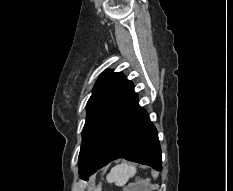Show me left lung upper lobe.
Returning a JSON list of instances; mask_svg holds the SVG:
<instances>
[{
    "instance_id": "5c2ea615",
    "label": "left lung upper lobe",
    "mask_w": 233,
    "mask_h": 191,
    "mask_svg": "<svg viewBox=\"0 0 233 191\" xmlns=\"http://www.w3.org/2000/svg\"><path fill=\"white\" fill-rule=\"evenodd\" d=\"M134 93V86L122 73L106 71L95 84L86 109L87 117L82 132L79 169L84 165L95 142Z\"/></svg>"
}]
</instances>
